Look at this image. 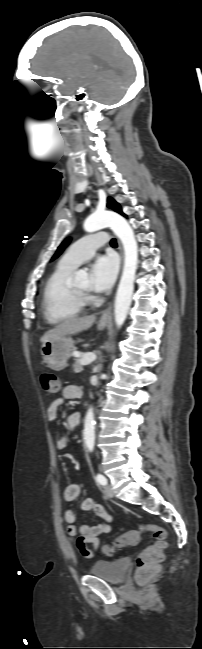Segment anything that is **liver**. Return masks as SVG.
<instances>
[{
	"label": "liver",
	"mask_w": 202,
	"mask_h": 649,
	"mask_svg": "<svg viewBox=\"0 0 202 649\" xmlns=\"http://www.w3.org/2000/svg\"><path fill=\"white\" fill-rule=\"evenodd\" d=\"M95 321V316H87L81 318H72L63 321L55 326L53 329L47 331L41 338L40 342L44 343L48 340L57 339L61 336L74 334L83 330L89 329Z\"/></svg>",
	"instance_id": "obj_1"
}]
</instances>
